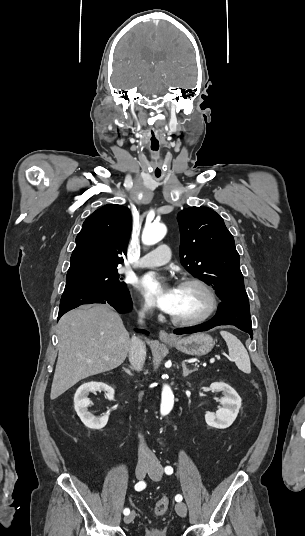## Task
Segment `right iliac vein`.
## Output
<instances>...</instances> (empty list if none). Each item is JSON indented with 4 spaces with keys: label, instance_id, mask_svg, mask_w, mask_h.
Instances as JSON below:
<instances>
[{
    "label": "right iliac vein",
    "instance_id": "right-iliac-vein-1",
    "mask_svg": "<svg viewBox=\"0 0 305 536\" xmlns=\"http://www.w3.org/2000/svg\"><path fill=\"white\" fill-rule=\"evenodd\" d=\"M150 469L151 468H150L149 465L138 464L136 466V471H135L137 478L138 479H143L145 477V475H146V472L148 470H150ZM134 518H135V512L132 511L128 516H126L124 518V522L125 523H130V522H132L134 520Z\"/></svg>",
    "mask_w": 305,
    "mask_h": 536
}]
</instances>
